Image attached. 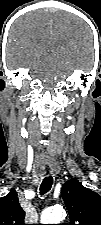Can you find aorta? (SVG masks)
<instances>
[{
    "instance_id": "obj_1",
    "label": "aorta",
    "mask_w": 101,
    "mask_h": 225,
    "mask_svg": "<svg viewBox=\"0 0 101 225\" xmlns=\"http://www.w3.org/2000/svg\"><path fill=\"white\" fill-rule=\"evenodd\" d=\"M66 217L62 206H52L45 209L41 215V224H59Z\"/></svg>"
}]
</instances>
